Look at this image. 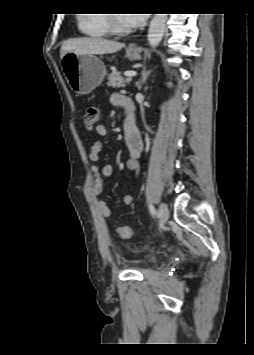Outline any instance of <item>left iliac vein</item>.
<instances>
[{
	"mask_svg": "<svg viewBox=\"0 0 254 355\" xmlns=\"http://www.w3.org/2000/svg\"><path fill=\"white\" fill-rule=\"evenodd\" d=\"M158 216L162 223L167 222L169 218V209L165 203H161L158 210Z\"/></svg>",
	"mask_w": 254,
	"mask_h": 355,
	"instance_id": "obj_1",
	"label": "left iliac vein"
}]
</instances>
